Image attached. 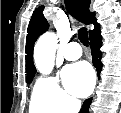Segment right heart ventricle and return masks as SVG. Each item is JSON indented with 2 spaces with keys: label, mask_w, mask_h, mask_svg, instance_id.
I'll return each mask as SVG.
<instances>
[{
  "label": "right heart ventricle",
  "mask_w": 121,
  "mask_h": 113,
  "mask_svg": "<svg viewBox=\"0 0 121 113\" xmlns=\"http://www.w3.org/2000/svg\"><path fill=\"white\" fill-rule=\"evenodd\" d=\"M28 109L29 113H48L46 107L38 101L35 89L33 90Z\"/></svg>",
  "instance_id": "obj_1"
}]
</instances>
